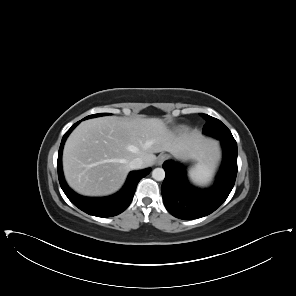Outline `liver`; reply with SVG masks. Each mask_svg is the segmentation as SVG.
I'll return each instance as SVG.
<instances>
[{
	"label": "liver",
	"instance_id": "obj_1",
	"mask_svg": "<svg viewBox=\"0 0 296 296\" xmlns=\"http://www.w3.org/2000/svg\"><path fill=\"white\" fill-rule=\"evenodd\" d=\"M163 151L178 158L206 160L216 153V144L198 131L176 134L159 118H94L79 124L68 137L64 175L82 195H109L123 185L130 161L141 158L143 168L150 167L154 154Z\"/></svg>",
	"mask_w": 296,
	"mask_h": 296
}]
</instances>
